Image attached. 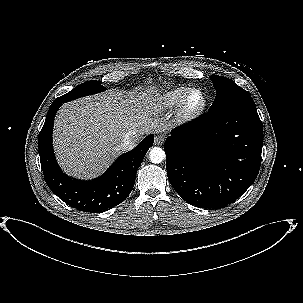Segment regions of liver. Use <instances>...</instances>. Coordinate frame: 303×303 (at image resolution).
Listing matches in <instances>:
<instances>
[{
  "instance_id": "6515ba94",
  "label": "liver",
  "mask_w": 303,
  "mask_h": 303,
  "mask_svg": "<svg viewBox=\"0 0 303 303\" xmlns=\"http://www.w3.org/2000/svg\"><path fill=\"white\" fill-rule=\"evenodd\" d=\"M148 95L111 89L64 104L55 120L53 138L64 171L81 178L95 177L122 153L120 144L128 132L134 131L141 140L144 134L165 131L167 126L156 118Z\"/></svg>"
}]
</instances>
